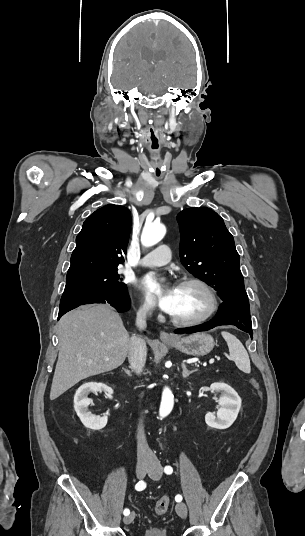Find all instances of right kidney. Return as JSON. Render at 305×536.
<instances>
[{
  "label": "right kidney",
  "mask_w": 305,
  "mask_h": 536,
  "mask_svg": "<svg viewBox=\"0 0 305 536\" xmlns=\"http://www.w3.org/2000/svg\"><path fill=\"white\" fill-rule=\"evenodd\" d=\"M89 392H107L106 396L112 398L113 390L106 386V384H96V382H87V384H82L78 388L74 396V408L79 416L82 424L90 430H102L107 424V416L99 418V416H93L91 412H88L87 408L91 404V400L87 398Z\"/></svg>",
  "instance_id": "obj_1"
}]
</instances>
